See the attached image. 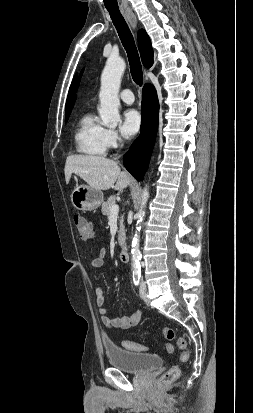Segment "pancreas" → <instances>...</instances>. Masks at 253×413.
<instances>
[{"instance_id": "obj_1", "label": "pancreas", "mask_w": 253, "mask_h": 413, "mask_svg": "<svg viewBox=\"0 0 253 413\" xmlns=\"http://www.w3.org/2000/svg\"><path fill=\"white\" fill-rule=\"evenodd\" d=\"M116 204L115 198L114 196H111L106 202H104L102 204V214L109 217L110 216V209L112 206H114ZM119 226H120V230L118 232V239L119 241L121 240V238L124 235V225H123V217H120V221H119Z\"/></svg>"}]
</instances>
